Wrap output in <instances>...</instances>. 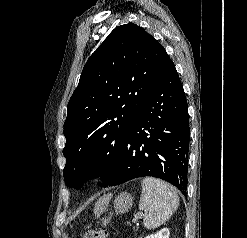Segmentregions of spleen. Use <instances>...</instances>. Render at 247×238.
Returning <instances> with one entry per match:
<instances>
[{"instance_id": "3e777b00", "label": "spleen", "mask_w": 247, "mask_h": 238, "mask_svg": "<svg viewBox=\"0 0 247 238\" xmlns=\"http://www.w3.org/2000/svg\"><path fill=\"white\" fill-rule=\"evenodd\" d=\"M139 209L143 210V224L147 229H155L166 222L176 211L179 199L174 187L153 177L142 180Z\"/></svg>"}]
</instances>
